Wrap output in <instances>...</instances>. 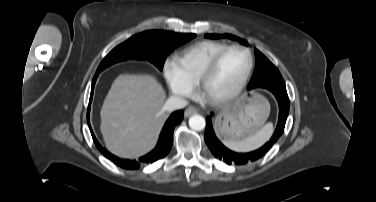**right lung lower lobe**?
Listing matches in <instances>:
<instances>
[{"instance_id": "obj_1", "label": "right lung lower lobe", "mask_w": 376, "mask_h": 202, "mask_svg": "<svg viewBox=\"0 0 376 202\" xmlns=\"http://www.w3.org/2000/svg\"><path fill=\"white\" fill-rule=\"evenodd\" d=\"M96 79L97 78L94 77V80H93V83H92L90 102H91V99H92L94 84H95ZM183 116H184V113H183L182 110H178V111H175L174 113H172L171 116L166 121V123H165V125H164V127L161 131L159 141H158V144L155 147V149L152 150L147 155L139 158L138 161L118 158V157L114 156L113 154H111L110 152H108L105 148H102L101 145L98 143L97 139L95 138L94 134H93V131L91 129L89 121H88V124H89V128H90V131H91V134H92V137H93V140L95 142L96 147L100 150V152L106 158H108L113 163L117 164L118 166H120L124 169H138L140 167V163H147V164L153 163V162L165 157L169 153V151L172 147V143H173V130H174L175 126L183 120Z\"/></svg>"}]
</instances>
